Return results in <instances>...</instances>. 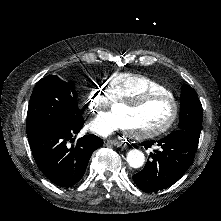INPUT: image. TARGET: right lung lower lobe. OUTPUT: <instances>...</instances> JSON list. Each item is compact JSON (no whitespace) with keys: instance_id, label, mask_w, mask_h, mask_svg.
<instances>
[{"instance_id":"right-lung-lower-lobe-1","label":"right lung lower lobe","mask_w":221,"mask_h":221,"mask_svg":"<svg viewBox=\"0 0 221 221\" xmlns=\"http://www.w3.org/2000/svg\"><path fill=\"white\" fill-rule=\"evenodd\" d=\"M83 124L82 119L68 127L43 129L28 136L39 169L60 187H70L80 181L92 153L103 145L102 139L90 134L78 139L76 146L67 147V141Z\"/></svg>"}]
</instances>
